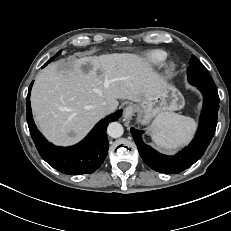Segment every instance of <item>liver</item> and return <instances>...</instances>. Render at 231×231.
<instances>
[{
  "mask_svg": "<svg viewBox=\"0 0 231 231\" xmlns=\"http://www.w3.org/2000/svg\"><path fill=\"white\" fill-rule=\"evenodd\" d=\"M149 62L130 53L61 60L41 70L31 93L34 119L45 137L67 146L82 139L105 116L100 105L114 111L117 99L141 103L165 86Z\"/></svg>",
  "mask_w": 231,
  "mask_h": 231,
  "instance_id": "6515ba94",
  "label": "liver"
}]
</instances>
